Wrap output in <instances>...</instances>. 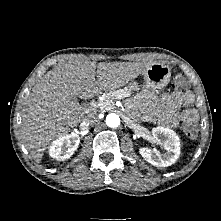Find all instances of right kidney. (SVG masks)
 <instances>
[{"label":"right kidney","instance_id":"ca27d5eb","mask_svg":"<svg viewBox=\"0 0 221 221\" xmlns=\"http://www.w3.org/2000/svg\"><path fill=\"white\" fill-rule=\"evenodd\" d=\"M80 143V137L77 134H66L54 140L49 147V155L63 161L69 159L76 151Z\"/></svg>","mask_w":221,"mask_h":221}]
</instances>
